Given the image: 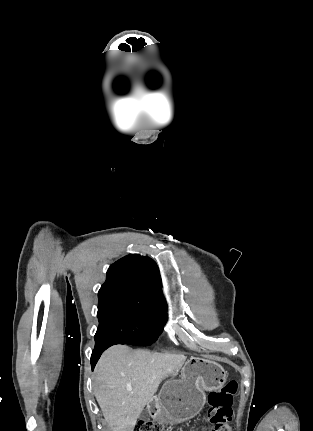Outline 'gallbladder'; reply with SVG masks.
Wrapping results in <instances>:
<instances>
[{
	"label": "gallbladder",
	"instance_id": "bac80fb5",
	"mask_svg": "<svg viewBox=\"0 0 313 431\" xmlns=\"http://www.w3.org/2000/svg\"><path fill=\"white\" fill-rule=\"evenodd\" d=\"M143 417L148 418V412L146 410L143 412Z\"/></svg>",
	"mask_w": 313,
	"mask_h": 431
}]
</instances>
